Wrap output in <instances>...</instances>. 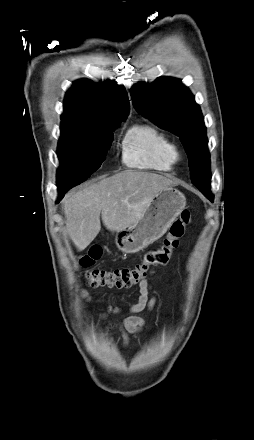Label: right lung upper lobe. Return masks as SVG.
I'll list each match as a JSON object with an SVG mask.
<instances>
[{"mask_svg":"<svg viewBox=\"0 0 254 440\" xmlns=\"http://www.w3.org/2000/svg\"><path fill=\"white\" fill-rule=\"evenodd\" d=\"M129 99L123 87L110 83L95 85L88 79L74 82L64 101L62 122L103 126L126 120Z\"/></svg>","mask_w":254,"mask_h":440,"instance_id":"obj_1","label":"right lung upper lobe"}]
</instances>
